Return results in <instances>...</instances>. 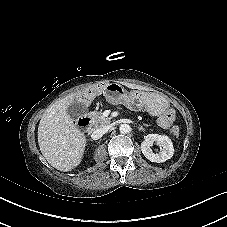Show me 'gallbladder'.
Returning <instances> with one entry per match:
<instances>
[{"label":"gallbladder","instance_id":"obj_1","mask_svg":"<svg viewBox=\"0 0 227 227\" xmlns=\"http://www.w3.org/2000/svg\"><path fill=\"white\" fill-rule=\"evenodd\" d=\"M68 114L71 116L73 120H76L81 115L87 112V108L83 103L74 102L68 107Z\"/></svg>","mask_w":227,"mask_h":227}]
</instances>
